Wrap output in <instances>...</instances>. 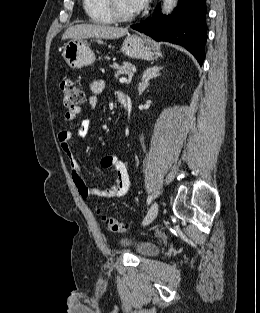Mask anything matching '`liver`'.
Wrapping results in <instances>:
<instances>
[{
    "label": "liver",
    "mask_w": 260,
    "mask_h": 313,
    "mask_svg": "<svg viewBox=\"0 0 260 313\" xmlns=\"http://www.w3.org/2000/svg\"><path fill=\"white\" fill-rule=\"evenodd\" d=\"M128 33L127 28L112 27L99 24H78L69 27L62 36V39H85L101 38L116 39Z\"/></svg>",
    "instance_id": "obj_1"
}]
</instances>
